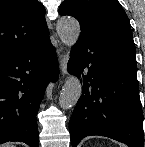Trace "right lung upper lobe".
Returning <instances> with one entry per match:
<instances>
[{"label": "right lung upper lobe", "instance_id": "right-lung-upper-lobe-1", "mask_svg": "<svg viewBox=\"0 0 145 147\" xmlns=\"http://www.w3.org/2000/svg\"><path fill=\"white\" fill-rule=\"evenodd\" d=\"M49 36L38 0H0V59Z\"/></svg>", "mask_w": 145, "mask_h": 147}]
</instances>
